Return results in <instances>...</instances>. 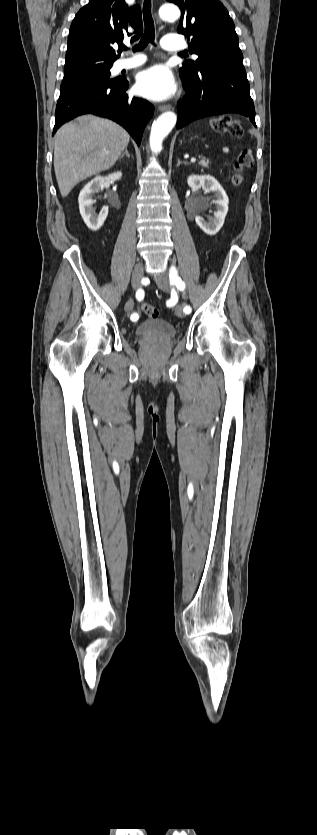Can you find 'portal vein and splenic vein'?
I'll return each mask as SVG.
<instances>
[{
    "mask_svg": "<svg viewBox=\"0 0 317 835\" xmlns=\"http://www.w3.org/2000/svg\"><path fill=\"white\" fill-rule=\"evenodd\" d=\"M191 161H195V158H192Z\"/></svg>",
    "mask_w": 317,
    "mask_h": 835,
    "instance_id": "18ae733b",
    "label": "portal vein and splenic vein"
}]
</instances>
